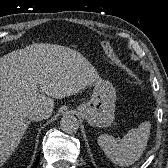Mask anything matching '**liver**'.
Listing matches in <instances>:
<instances>
[{"mask_svg": "<svg viewBox=\"0 0 168 168\" xmlns=\"http://www.w3.org/2000/svg\"><path fill=\"white\" fill-rule=\"evenodd\" d=\"M100 80L83 55L65 46L36 43L1 57L0 165L18 147L30 110L42 109L50 117L54 98L77 94Z\"/></svg>", "mask_w": 168, "mask_h": 168, "instance_id": "liver-1", "label": "liver"}]
</instances>
